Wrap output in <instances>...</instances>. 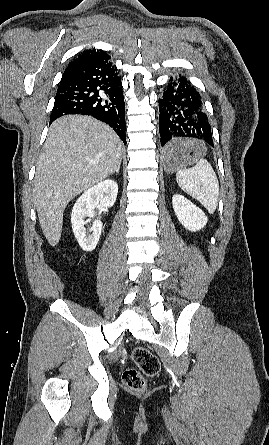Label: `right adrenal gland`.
I'll return each mask as SVG.
<instances>
[{
    "label": "right adrenal gland",
    "mask_w": 269,
    "mask_h": 445,
    "mask_svg": "<svg viewBox=\"0 0 269 445\" xmlns=\"http://www.w3.org/2000/svg\"><path fill=\"white\" fill-rule=\"evenodd\" d=\"M119 169H120V164L118 165L117 169L112 174L116 173L118 175L119 174Z\"/></svg>",
    "instance_id": "right-adrenal-gland-1"
}]
</instances>
